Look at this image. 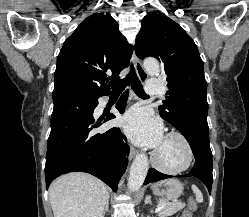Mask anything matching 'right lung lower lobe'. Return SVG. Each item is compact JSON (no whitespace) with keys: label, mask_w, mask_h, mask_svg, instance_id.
I'll return each mask as SVG.
<instances>
[{"label":"right lung lower lobe","mask_w":249,"mask_h":217,"mask_svg":"<svg viewBox=\"0 0 249 217\" xmlns=\"http://www.w3.org/2000/svg\"><path fill=\"white\" fill-rule=\"evenodd\" d=\"M109 92L87 95L73 91L53 93L54 108L47 142L45 165L46 188L58 176L68 172H86L101 179L113 191L128 164L129 145L119 128L97 132L102 125L93 112L98 98ZM123 94L116 108L123 113ZM115 118L110 114L104 122Z\"/></svg>","instance_id":"98d812e1"}]
</instances>
